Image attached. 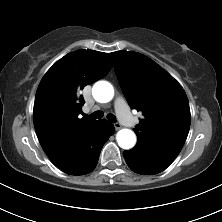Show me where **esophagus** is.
I'll return each instance as SVG.
<instances>
[{
	"label": "esophagus",
	"instance_id": "1",
	"mask_svg": "<svg viewBox=\"0 0 222 222\" xmlns=\"http://www.w3.org/2000/svg\"><path fill=\"white\" fill-rule=\"evenodd\" d=\"M114 127L116 130H119L121 128V124L116 122V123H114Z\"/></svg>",
	"mask_w": 222,
	"mask_h": 222
}]
</instances>
